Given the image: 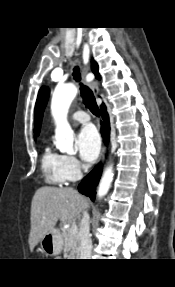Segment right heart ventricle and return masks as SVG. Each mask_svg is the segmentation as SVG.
<instances>
[{"instance_id":"e07e8e85","label":"right heart ventricle","mask_w":175,"mask_h":287,"mask_svg":"<svg viewBox=\"0 0 175 287\" xmlns=\"http://www.w3.org/2000/svg\"><path fill=\"white\" fill-rule=\"evenodd\" d=\"M41 169L50 184H63L66 180L62 171V155L46 147L41 156Z\"/></svg>"}]
</instances>
